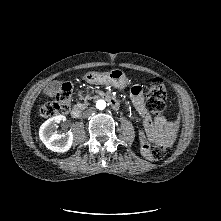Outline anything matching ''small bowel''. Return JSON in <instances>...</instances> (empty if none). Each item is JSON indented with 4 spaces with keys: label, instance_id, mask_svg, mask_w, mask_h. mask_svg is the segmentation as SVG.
I'll return each mask as SVG.
<instances>
[{
    "label": "small bowel",
    "instance_id": "obj_1",
    "mask_svg": "<svg viewBox=\"0 0 221 221\" xmlns=\"http://www.w3.org/2000/svg\"><path fill=\"white\" fill-rule=\"evenodd\" d=\"M131 100L143 122V131L139 133L141 151L146 158H150V144L165 143L166 146H169L176 134L178 125L176 122L168 121L162 114L154 118L150 116L140 86H134L131 89Z\"/></svg>",
    "mask_w": 221,
    "mask_h": 221
}]
</instances>
